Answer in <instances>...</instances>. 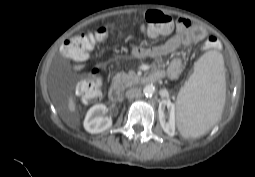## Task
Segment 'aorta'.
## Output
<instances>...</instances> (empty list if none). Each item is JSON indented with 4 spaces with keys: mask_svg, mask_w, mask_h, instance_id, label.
<instances>
[{
    "mask_svg": "<svg viewBox=\"0 0 255 177\" xmlns=\"http://www.w3.org/2000/svg\"><path fill=\"white\" fill-rule=\"evenodd\" d=\"M156 91V88L153 84H148L143 88V93L146 97L152 96Z\"/></svg>",
    "mask_w": 255,
    "mask_h": 177,
    "instance_id": "1",
    "label": "aorta"
}]
</instances>
